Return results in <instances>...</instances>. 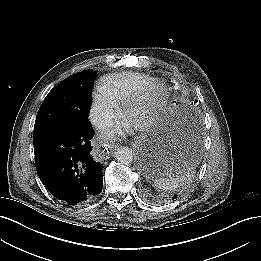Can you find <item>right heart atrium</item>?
Returning a JSON list of instances; mask_svg holds the SVG:
<instances>
[{"label":"right heart atrium","instance_id":"obj_1","mask_svg":"<svg viewBox=\"0 0 261 261\" xmlns=\"http://www.w3.org/2000/svg\"><path fill=\"white\" fill-rule=\"evenodd\" d=\"M99 99H100L101 106L104 108L105 112L108 115H111L112 114V105H113L112 97L109 95V93L105 89L101 90Z\"/></svg>","mask_w":261,"mask_h":261}]
</instances>
